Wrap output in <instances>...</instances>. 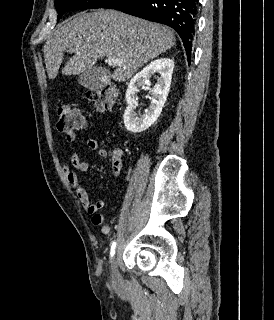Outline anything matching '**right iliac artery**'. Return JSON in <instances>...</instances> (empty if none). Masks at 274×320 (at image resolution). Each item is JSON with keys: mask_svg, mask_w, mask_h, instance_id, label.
<instances>
[{"mask_svg": "<svg viewBox=\"0 0 274 320\" xmlns=\"http://www.w3.org/2000/svg\"><path fill=\"white\" fill-rule=\"evenodd\" d=\"M115 248H116V241H113L111 244V251H110V256L113 257L115 254Z\"/></svg>", "mask_w": 274, "mask_h": 320, "instance_id": "1", "label": "right iliac artery"}]
</instances>
